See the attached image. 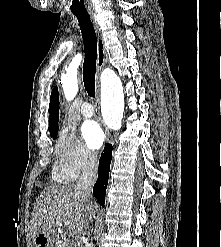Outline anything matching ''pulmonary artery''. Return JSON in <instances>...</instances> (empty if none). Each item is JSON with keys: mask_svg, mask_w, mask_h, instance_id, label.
Instances as JSON below:
<instances>
[{"mask_svg": "<svg viewBox=\"0 0 221 247\" xmlns=\"http://www.w3.org/2000/svg\"><path fill=\"white\" fill-rule=\"evenodd\" d=\"M81 114L84 117H91L94 114V110L91 107V105L89 104V102H84L81 106Z\"/></svg>", "mask_w": 221, "mask_h": 247, "instance_id": "obj_1", "label": "pulmonary artery"}]
</instances>
